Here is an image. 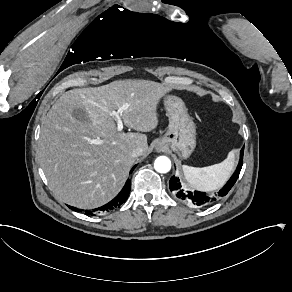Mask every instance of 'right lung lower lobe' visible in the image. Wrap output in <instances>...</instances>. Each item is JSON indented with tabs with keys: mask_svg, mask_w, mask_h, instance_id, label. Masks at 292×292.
Segmentation results:
<instances>
[{
	"mask_svg": "<svg viewBox=\"0 0 292 292\" xmlns=\"http://www.w3.org/2000/svg\"><path fill=\"white\" fill-rule=\"evenodd\" d=\"M135 168V166L132 168L131 172L133 171V169ZM130 188H131V180L128 179L123 187V189L121 190V192L112 200L110 201L109 203L99 207V208H96V209H93L92 211L91 210H86L85 213L86 215H94V213L96 211H111L117 207H120L121 204H123L126 199L128 198V195L130 193ZM69 208H71L72 210L74 211H77V209L75 207H71L69 206ZM78 211H82L81 209L78 210Z\"/></svg>",
	"mask_w": 292,
	"mask_h": 292,
	"instance_id": "obj_1",
	"label": "right lung lower lobe"
}]
</instances>
